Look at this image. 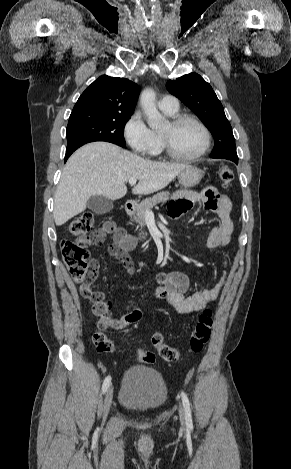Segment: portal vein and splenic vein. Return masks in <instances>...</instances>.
Instances as JSON below:
<instances>
[{"label":"portal vein and splenic vein","mask_w":291,"mask_h":469,"mask_svg":"<svg viewBox=\"0 0 291 469\" xmlns=\"http://www.w3.org/2000/svg\"><path fill=\"white\" fill-rule=\"evenodd\" d=\"M136 182H137V179H135V178L129 179V184H130V185H135ZM150 213H151L150 210L146 212V214H150Z\"/></svg>","instance_id":"1"}]
</instances>
